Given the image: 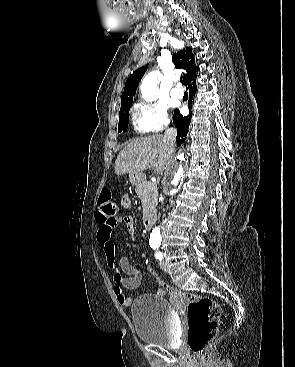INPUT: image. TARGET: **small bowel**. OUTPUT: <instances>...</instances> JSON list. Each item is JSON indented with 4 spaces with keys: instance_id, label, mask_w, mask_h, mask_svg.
<instances>
[{
    "instance_id": "1",
    "label": "small bowel",
    "mask_w": 295,
    "mask_h": 367,
    "mask_svg": "<svg viewBox=\"0 0 295 367\" xmlns=\"http://www.w3.org/2000/svg\"><path fill=\"white\" fill-rule=\"evenodd\" d=\"M122 206L124 208H129L131 206L129 196L125 195L123 197ZM119 223H123L131 238H134V219L127 215L123 217H115L114 220L109 222H99L97 242L103 248L106 264L108 267L114 270L112 281L114 284L113 292L116 296V299L121 306L128 307L132 304L133 298L131 296H127L125 291H133L140 286L142 282V273L130 262L127 257H120L119 259H116L112 233ZM161 293V290H159L158 294Z\"/></svg>"
}]
</instances>
